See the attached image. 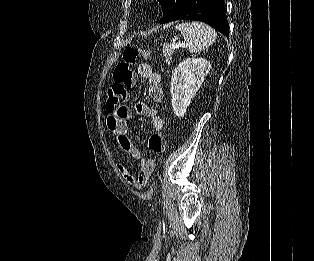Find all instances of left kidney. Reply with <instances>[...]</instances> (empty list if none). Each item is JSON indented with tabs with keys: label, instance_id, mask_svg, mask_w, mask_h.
<instances>
[{
	"label": "left kidney",
	"instance_id": "obj_1",
	"mask_svg": "<svg viewBox=\"0 0 314 261\" xmlns=\"http://www.w3.org/2000/svg\"><path fill=\"white\" fill-rule=\"evenodd\" d=\"M210 68V62L203 58H187L174 69L170 92L173 111L177 117L184 116Z\"/></svg>",
	"mask_w": 314,
	"mask_h": 261
}]
</instances>
